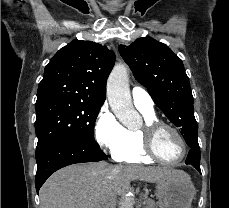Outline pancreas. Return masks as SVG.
I'll use <instances>...</instances> for the list:
<instances>
[{
    "label": "pancreas",
    "mask_w": 229,
    "mask_h": 208,
    "mask_svg": "<svg viewBox=\"0 0 229 208\" xmlns=\"http://www.w3.org/2000/svg\"><path fill=\"white\" fill-rule=\"evenodd\" d=\"M143 204H146L145 208H158L157 202H154L151 198H145V202H143Z\"/></svg>",
    "instance_id": "obj_1"
}]
</instances>
